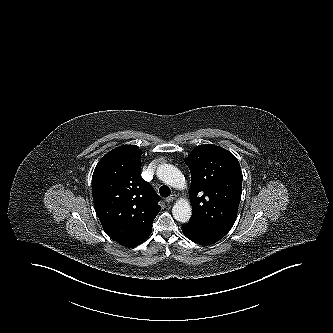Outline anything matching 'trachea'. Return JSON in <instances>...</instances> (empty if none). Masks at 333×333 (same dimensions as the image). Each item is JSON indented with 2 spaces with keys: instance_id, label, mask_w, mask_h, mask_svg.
<instances>
[{
  "instance_id": "1",
  "label": "trachea",
  "mask_w": 333,
  "mask_h": 333,
  "mask_svg": "<svg viewBox=\"0 0 333 333\" xmlns=\"http://www.w3.org/2000/svg\"><path fill=\"white\" fill-rule=\"evenodd\" d=\"M159 193L162 197H167L171 194V190L168 186L163 185V186L160 187Z\"/></svg>"
}]
</instances>
